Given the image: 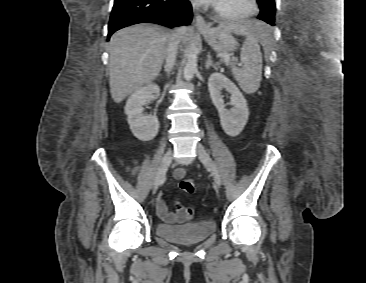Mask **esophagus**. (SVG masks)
<instances>
[{"mask_svg": "<svg viewBox=\"0 0 366 283\" xmlns=\"http://www.w3.org/2000/svg\"><path fill=\"white\" fill-rule=\"evenodd\" d=\"M194 23H195V27L200 31L209 30L208 24L205 22L204 18L199 13L195 14Z\"/></svg>", "mask_w": 366, "mask_h": 283, "instance_id": "obj_1", "label": "esophagus"}]
</instances>
